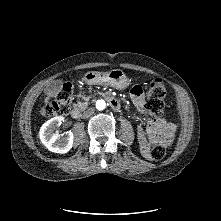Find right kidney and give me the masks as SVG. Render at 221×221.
Instances as JSON below:
<instances>
[{"label":"right kidney","instance_id":"right-kidney-1","mask_svg":"<svg viewBox=\"0 0 221 221\" xmlns=\"http://www.w3.org/2000/svg\"><path fill=\"white\" fill-rule=\"evenodd\" d=\"M63 121L62 116H57L45 122L40 128L41 142L49 151L54 153H67L73 146L74 136L71 131L65 135L57 132V126Z\"/></svg>","mask_w":221,"mask_h":221}]
</instances>
